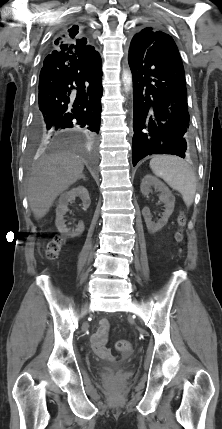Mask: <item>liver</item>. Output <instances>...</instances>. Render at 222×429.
I'll use <instances>...</instances> for the list:
<instances>
[{
	"mask_svg": "<svg viewBox=\"0 0 222 429\" xmlns=\"http://www.w3.org/2000/svg\"><path fill=\"white\" fill-rule=\"evenodd\" d=\"M83 159L69 151L42 156L31 168L27 196L36 219L43 218L56 197L83 176Z\"/></svg>",
	"mask_w": 222,
	"mask_h": 429,
	"instance_id": "obj_1",
	"label": "liver"
}]
</instances>
